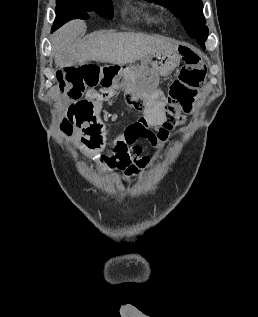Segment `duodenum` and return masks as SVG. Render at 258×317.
Returning <instances> with one entry per match:
<instances>
[{
	"instance_id": "obj_1",
	"label": "duodenum",
	"mask_w": 258,
	"mask_h": 317,
	"mask_svg": "<svg viewBox=\"0 0 258 317\" xmlns=\"http://www.w3.org/2000/svg\"><path fill=\"white\" fill-rule=\"evenodd\" d=\"M120 92V87L117 85L109 84L104 85L100 90L92 89L88 92L87 98L101 105L105 101H109L114 98Z\"/></svg>"
}]
</instances>
